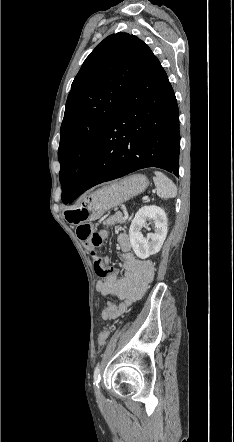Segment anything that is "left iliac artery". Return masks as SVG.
<instances>
[{"mask_svg":"<svg viewBox=\"0 0 234 442\" xmlns=\"http://www.w3.org/2000/svg\"><path fill=\"white\" fill-rule=\"evenodd\" d=\"M93 378H94V385L99 388V386H98V384L100 382V366L99 365H97L96 368L94 369Z\"/></svg>","mask_w":234,"mask_h":442,"instance_id":"44dca946","label":"left iliac artery"}]
</instances>
